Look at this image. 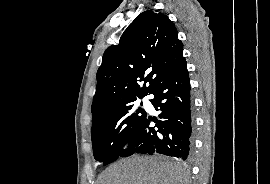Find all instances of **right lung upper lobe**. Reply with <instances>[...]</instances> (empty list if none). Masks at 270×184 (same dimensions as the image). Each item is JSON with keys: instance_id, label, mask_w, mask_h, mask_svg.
<instances>
[{"instance_id": "cb5924a9", "label": "right lung upper lobe", "mask_w": 270, "mask_h": 184, "mask_svg": "<svg viewBox=\"0 0 270 184\" xmlns=\"http://www.w3.org/2000/svg\"><path fill=\"white\" fill-rule=\"evenodd\" d=\"M173 22L147 10L128 26L119 44L106 49L97 71L93 123L129 101L148 95L183 59V44ZM144 81L140 88L139 83ZM149 86L146 87V83Z\"/></svg>"}]
</instances>
